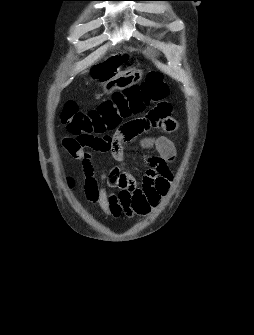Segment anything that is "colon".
Listing matches in <instances>:
<instances>
[{
	"instance_id": "1",
	"label": "colon",
	"mask_w": 254,
	"mask_h": 335,
	"mask_svg": "<svg viewBox=\"0 0 254 335\" xmlns=\"http://www.w3.org/2000/svg\"><path fill=\"white\" fill-rule=\"evenodd\" d=\"M168 94L169 86L163 75L152 71L143 82L123 92H115L97 109L87 113L80 111L74 102H66L61 120L86 148L106 152L111 146L107 132L117 130L118 124H125L122 123L125 118L139 114L149 106L154 108L155 104H168L163 102Z\"/></svg>"
}]
</instances>
